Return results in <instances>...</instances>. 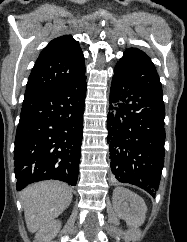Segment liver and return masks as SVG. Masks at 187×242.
<instances>
[{
  "mask_svg": "<svg viewBox=\"0 0 187 242\" xmlns=\"http://www.w3.org/2000/svg\"><path fill=\"white\" fill-rule=\"evenodd\" d=\"M71 188L58 181H43L22 191V205L29 232L34 233L58 217L71 203Z\"/></svg>",
  "mask_w": 187,
  "mask_h": 242,
  "instance_id": "6515ba94",
  "label": "liver"
}]
</instances>
